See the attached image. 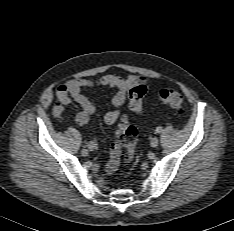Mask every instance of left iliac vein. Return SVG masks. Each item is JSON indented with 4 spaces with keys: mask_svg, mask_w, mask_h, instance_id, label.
Masks as SVG:
<instances>
[{
    "mask_svg": "<svg viewBox=\"0 0 234 231\" xmlns=\"http://www.w3.org/2000/svg\"><path fill=\"white\" fill-rule=\"evenodd\" d=\"M158 144H159L158 138L154 137V138L151 139V141H150L151 147L155 148V147L158 146Z\"/></svg>",
    "mask_w": 234,
    "mask_h": 231,
    "instance_id": "obj_1",
    "label": "left iliac vein"
}]
</instances>
